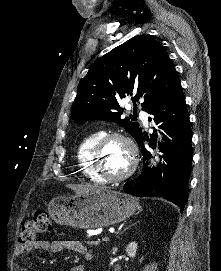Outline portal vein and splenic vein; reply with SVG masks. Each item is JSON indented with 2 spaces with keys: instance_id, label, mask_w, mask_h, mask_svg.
<instances>
[{
  "instance_id": "portal-vein-and-splenic-vein-1",
  "label": "portal vein and splenic vein",
  "mask_w": 221,
  "mask_h": 271,
  "mask_svg": "<svg viewBox=\"0 0 221 271\" xmlns=\"http://www.w3.org/2000/svg\"><path fill=\"white\" fill-rule=\"evenodd\" d=\"M101 240H109L110 236L109 235H101Z\"/></svg>"
}]
</instances>
